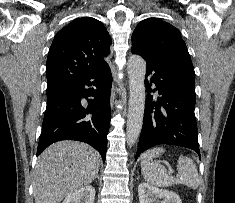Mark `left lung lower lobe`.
<instances>
[{"mask_svg": "<svg viewBox=\"0 0 235 203\" xmlns=\"http://www.w3.org/2000/svg\"><path fill=\"white\" fill-rule=\"evenodd\" d=\"M146 63V77L154 74L150 81L145 80L148 94L136 159L143 151L158 144L186 147L200 156L194 114V78L153 61ZM152 84H155L160 95L156 101L150 95V92L156 91L151 90Z\"/></svg>", "mask_w": 235, "mask_h": 203, "instance_id": "1", "label": "left lung lower lobe"}]
</instances>
